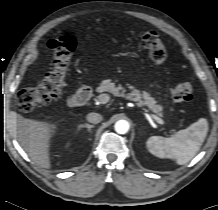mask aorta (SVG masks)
I'll return each mask as SVG.
<instances>
[{
    "mask_svg": "<svg viewBox=\"0 0 218 210\" xmlns=\"http://www.w3.org/2000/svg\"><path fill=\"white\" fill-rule=\"evenodd\" d=\"M115 131L119 134H125L129 130V123L126 120H119L115 123Z\"/></svg>",
    "mask_w": 218,
    "mask_h": 210,
    "instance_id": "obj_1",
    "label": "aorta"
}]
</instances>
